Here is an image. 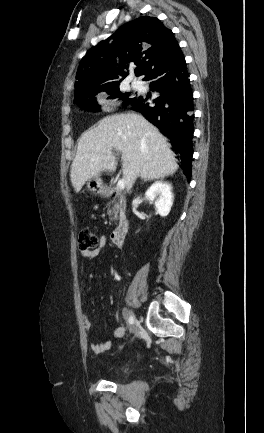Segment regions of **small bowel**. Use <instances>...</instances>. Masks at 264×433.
I'll use <instances>...</instances> for the list:
<instances>
[{
  "label": "small bowel",
  "instance_id": "small-bowel-1",
  "mask_svg": "<svg viewBox=\"0 0 264 433\" xmlns=\"http://www.w3.org/2000/svg\"><path fill=\"white\" fill-rule=\"evenodd\" d=\"M107 244H108V239L106 237L100 238L97 246L94 249L83 253L85 263L89 264V263L93 262L94 260H96L97 257L99 256L102 248L105 247ZM83 320H84V325H85L86 329L90 330L92 328V323H91V320L89 319V317L85 315L83 317ZM123 332H124L123 327L116 328L114 330V333H113L114 338H120L123 335ZM111 346H112L111 341H105L102 343H91L90 349L95 354H101V353L108 351L111 348Z\"/></svg>",
  "mask_w": 264,
  "mask_h": 433
}]
</instances>
